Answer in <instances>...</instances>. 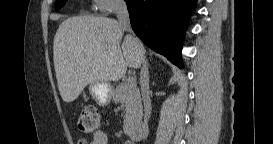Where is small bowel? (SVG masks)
<instances>
[{"mask_svg":"<svg viewBox=\"0 0 273 144\" xmlns=\"http://www.w3.org/2000/svg\"><path fill=\"white\" fill-rule=\"evenodd\" d=\"M77 144H108V136L106 133L98 131L93 134L91 142H88L85 138H81L78 140Z\"/></svg>","mask_w":273,"mask_h":144,"instance_id":"small-bowel-1","label":"small bowel"}]
</instances>
